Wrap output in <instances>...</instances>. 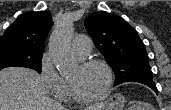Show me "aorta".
I'll return each instance as SVG.
<instances>
[{"instance_id": "762f6f07", "label": "aorta", "mask_w": 171, "mask_h": 110, "mask_svg": "<svg viewBox=\"0 0 171 110\" xmlns=\"http://www.w3.org/2000/svg\"><path fill=\"white\" fill-rule=\"evenodd\" d=\"M72 29V23L68 21L62 23L49 41L51 60L61 75L71 72L76 64L70 49Z\"/></svg>"}]
</instances>
